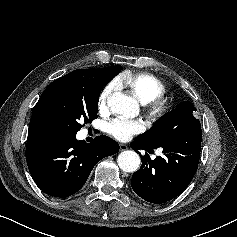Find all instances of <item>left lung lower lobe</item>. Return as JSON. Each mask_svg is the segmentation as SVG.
<instances>
[{
  "label": "left lung lower lobe",
  "mask_w": 237,
  "mask_h": 237,
  "mask_svg": "<svg viewBox=\"0 0 237 237\" xmlns=\"http://www.w3.org/2000/svg\"><path fill=\"white\" fill-rule=\"evenodd\" d=\"M202 130L196 121L176 140L163 144V156L151 160L139 149L153 151V148L138 138L132 148L141 156V168L132 176L131 186L142 199L156 204L165 203L181 194L193 179L200 158Z\"/></svg>",
  "instance_id": "1"
}]
</instances>
